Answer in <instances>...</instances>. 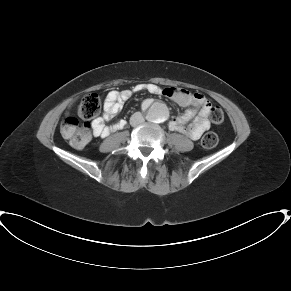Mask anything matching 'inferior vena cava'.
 Listing matches in <instances>:
<instances>
[{
	"mask_svg": "<svg viewBox=\"0 0 291 291\" xmlns=\"http://www.w3.org/2000/svg\"><path fill=\"white\" fill-rule=\"evenodd\" d=\"M144 122V117L140 112H135L131 117H130V125L133 127L138 126L139 124Z\"/></svg>",
	"mask_w": 291,
	"mask_h": 291,
	"instance_id": "602c4592",
	"label": "inferior vena cava"
}]
</instances>
